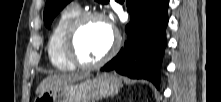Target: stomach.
<instances>
[{
  "mask_svg": "<svg viewBox=\"0 0 221 102\" xmlns=\"http://www.w3.org/2000/svg\"><path fill=\"white\" fill-rule=\"evenodd\" d=\"M122 86L121 80L110 74H102L80 83L66 84L39 94L34 102H96L116 95Z\"/></svg>",
  "mask_w": 221,
  "mask_h": 102,
  "instance_id": "obj_1",
  "label": "stomach"
}]
</instances>
